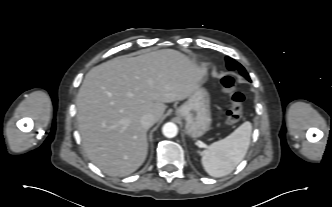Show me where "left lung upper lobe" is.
I'll use <instances>...</instances> for the list:
<instances>
[{
    "mask_svg": "<svg viewBox=\"0 0 332 207\" xmlns=\"http://www.w3.org/2000/svg\"><path fill=\"white\" fill-rule=\"evenodd\" d=\"M226 65L229 70L238 71L242 76H244L247 80L250 81L249 75L246 72V70L244 69V67L241 64H239L238 62H236L234 59L227 56Z\"/></svg>",
    "mask_w": 332,
    "mask_h": 207,
    "instance_id": "5c2ea615",
    "label": "left lung upper lobe"
}]
</instances>
